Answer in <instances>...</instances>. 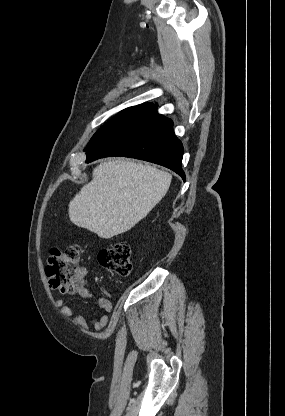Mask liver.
Listing matches in <instances>:
<instances>
[{
  "mask_svg": "<svg viewBox=\"0 0 285 416\" xmlns=\"http://www.w3.org/2000/svg\"><path fill=\"white\" fill-rule=\"evenodd\" d=\"M93 180L69 204V218L103 240L131 230L164 198L171 174L153 166L112 160L102 162Z\"/></svg>",
  "mask_w": 285,
  "mask_h": 416,
  "instance_id": "6515ba94",
  "label": "liver"
}]
</instances>
